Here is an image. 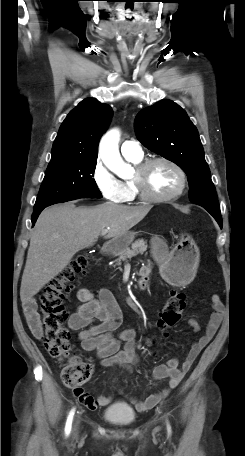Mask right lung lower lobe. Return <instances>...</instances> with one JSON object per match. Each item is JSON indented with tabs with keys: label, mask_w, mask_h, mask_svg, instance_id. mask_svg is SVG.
I'll return each instance as SVG.
<instances>
[{
	"label": "right lung lower lobe",
	"mask_w": 245,
	"mask_h": 456,
	"mask_svg": "<svg viewBox=\"0 0 245 456\" xmlns=\"http://www.w3.org/2000/svg\"><path fill=\"white\" fill-rule=\"evenodd\" d=\"M44 208H41V209H37V210H34L33 212V215H32V218H31V221H32V226H34L39 214L41 213V211L43 210Z\"/></svg>",
	"instance_id": "right-lung-lower-lobe-1"
}]
</instances>
